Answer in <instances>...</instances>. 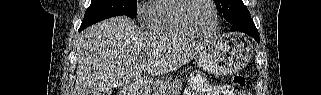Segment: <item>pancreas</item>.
<instances>
[{"label": "pancreas", "mask_w": 321, "mask_h": 95, "mask_svg": "<svg viewBox=\"0 0 321 95\" xmlns=\"http://www.w3.org/2000/svg\"><path fill=\"white\" fill-rule=\"evenodd\" d=\"M182 89V82L179 79L168 78L165 81L157 82L149 88L151 95H176Z\"/></svg>", "instance_id": "pancreas-1"}]
</instances>
